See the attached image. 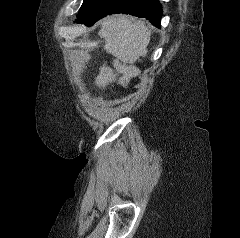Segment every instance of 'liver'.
<instances>
[{
  "label": "liver",
  "instance_id": "6515ba94",
  "mask_svg": "<svg viewBox=\"0 0 240 238\" xmlns=\"http://www.w3.org/2000/svg\"><path fill=\"white\" fill-rule=\"evenodd\" d=\"M99 35L105 41L104 49L115 57L113 60L115 71L103 64L95 79L96 86L105 89L117 80L119 84L126 87L131 78L140 73L134 63L147 54L150 30L144 21L125 15H116L101 20ZM119 75L122 76L117 79Z\"/></svg>",
  "mask_w": 240,
  "mask_h": 238
}]
</instances>
